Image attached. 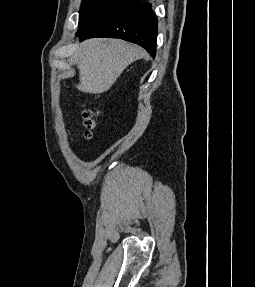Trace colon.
<instances>
[{
    "mask_svg": "<svg viewBox=\"0 0 255 287\" xmlns=\"http://www.w3.org/2000/svg\"><path fill=\"white\" fill-rule=\"evenodd\" d=\"M99 110L86 107L82 112L84 126L86 128L85 137L90 139L93 136L94 130L97 128L99 121Z\"/></svg>",
    "mask_w": 255,
    "mask_h": 287,
    "instance_id": "obj_1",
    "label": "colon"
}]
</instances>
